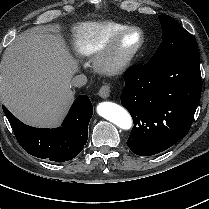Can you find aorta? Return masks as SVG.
Instances as JSON below:
<instances>
[{
	"mask_svg": "<svg viewBox=\"0 0 209 209\" xmlns=\"http://www.w3.org/2000/svg\"><path fill=\"white\" fill-rule=\"evenodd\" d=\"M97 113L121 129L129 130L132 127L130 114L123 107L113 102L100 103L97 106Z\"/></svg>",
	"mask_w": 209,
	"mask_h": 209,
	"instance_id": "1",
	"label": "aorta"
}]
</instances>
